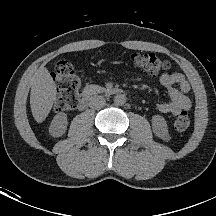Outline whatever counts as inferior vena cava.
Listing matches in <instances>:
<instances>
[{"mask_svg":"<svg viewBox=\"0 0 216 216\" xmlns=\"http://www.w3.org/2000/svg\"><path fill=\"white\" fill-rule=\"evenodd\" d=\"M105 98L103 96L95 95L89 99V106L93 109H101L105 106Z\"/></svg>","mask_w":216,"mask_h":216,"instance_id":"obj_1","label":"inferior vena cava"}]
</instances>
